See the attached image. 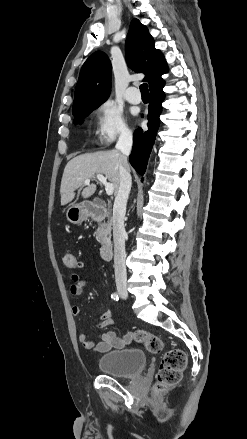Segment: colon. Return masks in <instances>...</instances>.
<instances>
[{
    "label": "colon",
    "mask_w": 247,
    "mask_h": 439,
    "mask_svg": "<svg viewBox=\"0 0 247 439\" xmlns=\"http://www.w3.org/2000/svg\"><path fill=\"white\" fill-rule=\"evenodd\" d=\"M66 267L75 269L80 267V262L75 255L68 253L63 258ZM135 340L144 344L145 348L153 354L160 353L163 342L160 337L139 330L135 333ZM187 365V356L181 349H171L167 351L160 362L157 380L154 385L155 392H162L169 387L177 384Z\"/></svg>",
    "instance_id": "colon-1"
}]
</instances>
